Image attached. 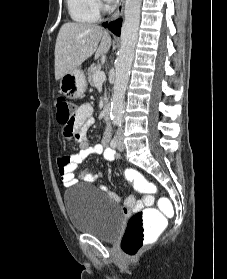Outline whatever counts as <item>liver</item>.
Instances as JSON below:
<instances>
[{"instance_id": "obj_1", "label": "liver", "mask_w": 227, "mask_h": 279, "mask_svg": "<svg viewBox=\"0 0 227 279\" xmlns=\"http://www.w3.org/2000/svg\"><path fill=\"white\" fill-rule=\"evenodd\" d=\"M110 47L111 37L99 25L75 22L63 24L55 44V79L59 80L79 68L93 54L97 60Z\"/></svg>"}]
</instances>
